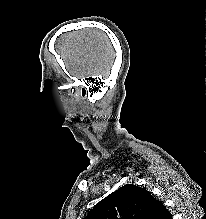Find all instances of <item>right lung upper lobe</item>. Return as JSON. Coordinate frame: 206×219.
<instances>
[{"label": "right lung upper lobe", "mask_w": 206, "mask_h": 219, "mask_svg": "<svg viewBox=\"0 0 206 219\" xmlns=\"http://www.w3.org/2000/svg\"><path fill=\"white\" fill-rule=\"evenodd\" d=\"M84 219H172L145 188L128 184L97 203Z\"/></svg>", "instance_id": "obj_1"}]
</instances>
